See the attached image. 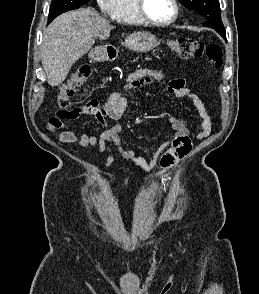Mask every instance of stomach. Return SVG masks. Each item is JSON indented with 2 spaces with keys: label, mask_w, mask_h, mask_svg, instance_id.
<instances>
[{
  "label": "stomach",
  "mask_w": 259,
  "mask_h": 294,
  "mask_svg": "<svg viewBox=\"0 0 259 294\" xmlns=\"http://www.w3.org/2000/svg\"><path fill=\"white\" fill-rule=\"evenodd\" d=\"M160 42L149 32H137L126 37L125 46L136 52H148L157 47ZM91 57H96L97 51L90 54Z\"/></svg>",
  "instance_id": "0dacf381"
}]
</instances>
